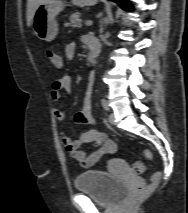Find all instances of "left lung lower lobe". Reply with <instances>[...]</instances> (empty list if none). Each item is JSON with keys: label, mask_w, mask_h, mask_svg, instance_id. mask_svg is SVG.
<instances>
[{"label": "left lung lower lobe", "mask_w": 188, "mask_h": 213, "mask_svg": "<svg viewBox=\"0 0 188 213\" xmlns=\"http://www.w3.org/2000/svg\"><path fill=\"white\" fill-rule=\"evenodd\" d=\"M112 1H115L116 3H118L125 10H128V11L132 10V6L128 0H112Z\"/></svg>", "instance_id": "0a47b994"}]
</instances>
